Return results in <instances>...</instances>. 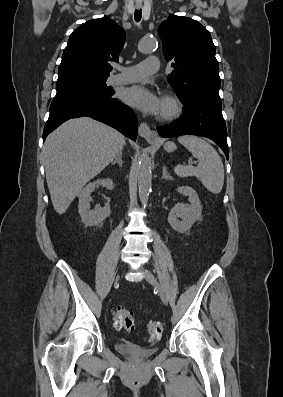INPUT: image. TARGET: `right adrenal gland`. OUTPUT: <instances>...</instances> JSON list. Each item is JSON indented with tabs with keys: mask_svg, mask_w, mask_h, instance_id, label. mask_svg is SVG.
Returning a JSON list of instances; mask_svg holds the SVG:
<instances>
[{
	"mask_svg": "<svg viewBox=\"0 0 283 397\" xmlns=\"http://www.w3.org/2000/svg\"><path fill=\"white\" fill-rule=\"evenodd\" d=\"M118 163L120 167H122V152L118 154L114 161L111 162V165Z\"/></svg>",
	"mask_w": 283,
	"mask_h": 397,
	"instance_id": "right-adrenal-gland-1",
	"label": "right adrenal gland"
}]
</instances>
